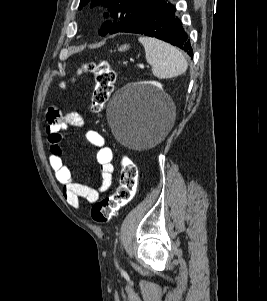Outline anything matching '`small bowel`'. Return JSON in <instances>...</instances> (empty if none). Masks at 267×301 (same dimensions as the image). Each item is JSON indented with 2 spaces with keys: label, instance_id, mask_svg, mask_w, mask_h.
Returning <instances> with one entry per match:
<instances>
[{
  "label": "small bowel",
  "instance_id": "small-bowel-1",
  "mask_svg": "<svg viewBox=\"0 0 267 301\" xmlns=\"http://www.w3.org/2000/svg\"><path fill=\"white\" fill-rule=\"evenodd\" d=\"M46 120V134L50 144L49 164L57 181L62 185L65 200L75 209L80 207V199L95 203L101 193L109 190L112 185L114 173L112 149L106 145L104 137L99 132L95 130L85 132L86 141L97 148L96 160L100 167L101 182L98 188L80 183L74 179L63 161L61 143L65 130L71 127L79 129L85 127L84 118L77 112L63 114L57 107H51L46 114Z\"/></svg>",
  "mask_w": 267,
  "mask_h": 301
}]
</instances>
